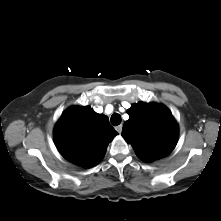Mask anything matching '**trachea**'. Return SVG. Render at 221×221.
I'll use <instances>...</instances> for the list:
<instances>
[{"instance_id": "trachea-1", "label": "trachea", "mask_w": 221, "mask_h": 221, "mask_svg": "<svg viewBox=\"0 0 221 221\" xmlns=\"http://www.w3.org/2000/svg\"><path fill=\"white\" fill-rule=\"evenodd\" d=\"M111 124L114 125V126H117L121 123V116L120 114L118 113H113L112 116H111Z\"/></svg>"}]
</instances>
